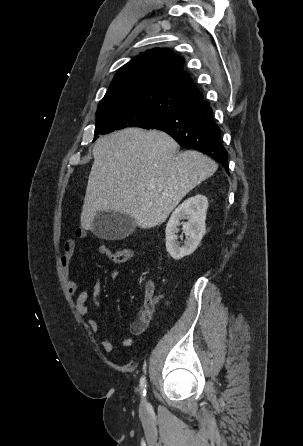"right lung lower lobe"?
<instances>
[{
  "mask_svg": "<svg viewBox=\"0 0 303 446\" xmlns=\"http://www.w3.org/2000/svg\"><path fill=\"white\" fill-rule=\"evenodd\" d=\"M168 133L181 146L198 150L218 161L228 172V154L214 123L212 110L203 99L166 112L140 126Z\"/></svg>",
  "mask_w": 303,
  "mask_h": 446,
  "instance_id": "obj_1",
  "label": "right lung lower lobe"
}]
</instances>
